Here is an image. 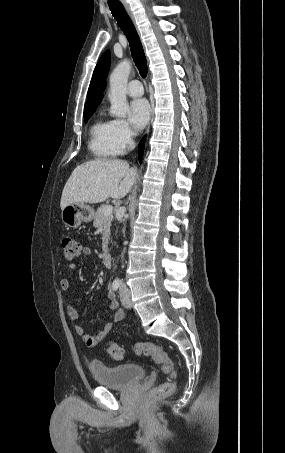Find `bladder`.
Here are the masks:
<instances>
[{
  "instance_id": "1",
  "label": "bladder",
  "mask_w": 285,
  "mask_h": 453,
  "mask_svg": "<svg viewBox=\"0 0 285 453\" xmlns=\"http://www.w3.org/2000/svg\"><path fill=\"white\" fill-rule=\"evenodd\" d=\"M89 371L98 384L119 389L128 388L145 376L144 368L135 363L108 366L95 361L89 364Z\"/></svg>"
}]
</instances>
